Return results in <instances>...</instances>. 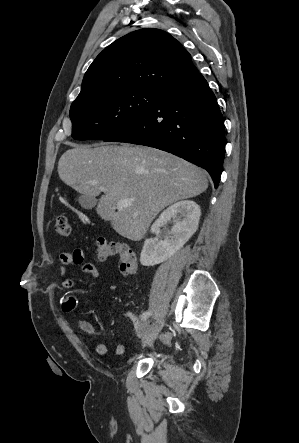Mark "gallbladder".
<instances>
[{
  "mask_svg": "<svg viewBox=\"0 0 299 443\" xmlns=\"http://www.w3.org/2000/svg\"><path fill=\"white\" fill-rule=\"evenodd\" d=\"M78 202L81 205V207L86 210H90L96 205V200L94 197H89L85 195L79 196Z\"/></svg>",
  "mask_w": 299,
  "mask_h": 443,
  "instance_id": "gallbladder-1",
  "label": "gallbladder"
}]
</instances>
